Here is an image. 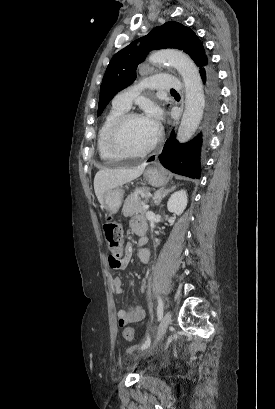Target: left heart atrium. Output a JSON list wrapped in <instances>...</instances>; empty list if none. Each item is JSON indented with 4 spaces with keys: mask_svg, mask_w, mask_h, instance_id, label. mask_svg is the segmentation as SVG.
Returning <instances> with one entry per match:
<instances>
[{
    "mask_svg": "<svg viewBox=\"0 0 275 409\" xmlns=\"http://www.w3.org/2000/svg\"><path fill=\"white\" fill-rule=\"evenodd\" d=\"M145 120L155 131H157L161 120L159 109L156 107H149L146 112Z\"/></svg>",
    "mask_w": 275,
    "mask_h": 409,
    "instance_id": "obj_1",
    "label": "left heart atrium"
}]
</instances>
